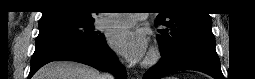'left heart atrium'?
Returning a JSON list of instances; mask_svg holds the SVG:
<instances>
[{
    "label": "left heart atrium",
    "mask_w": 255,
    "mask_h": 79,
    "mask_svg": "<svg viewBox=\"0 0 255 79\" xmlns=\"http://www.w3.org/2000/svg\"><path fill=\"white\" fill-rule=\"evenodd\" d=\"M111 46L131 63L141 61L148 48V38L144 32L131 28L118 29L112 32Z\"/></svg>",
    "instance_id": "39dd6f15"
}]
</instances>
